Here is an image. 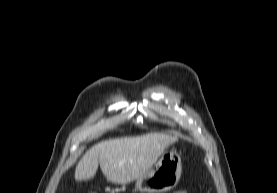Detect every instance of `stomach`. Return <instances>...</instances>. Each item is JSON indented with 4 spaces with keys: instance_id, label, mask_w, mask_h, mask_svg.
Segmentation results:
<instances>
[{
    "instance_id": "obj_1",
    "label": "stomach",
    "mask_w": 277,
    "mask_h": 193,
    "mask_svg": "<svg viewBox=\"0 0 277 193\" xmlns=\"http://www.w3.org/2000/svg\"><path fill=\"white\" fill-rule=\"evenodd\" d=\"M181 172L180 155L166 151L150 171L136 179L135 187L141 193H165L178 184Z\"/></svg>"
}]
</instances>
